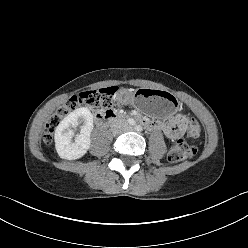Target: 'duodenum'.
Returning <instances> with one entry per match:
<instances>
[{
	"instance_id": "410a0bca",
	"label": "duodenum",
	"mask_w": 248,
	"mask_h": 248,
	"mask_svg": "<svg viewBox=\"0 0 248 248\" xmlns=\"http://www.w3.org/2000/svg\"><path fill=\"white\" fill-rule=\"evenodd\" d=\"M95 117L99 123H109L121 119V116L113 111L96 114Z\"/></svg>"
}]
</instances>
